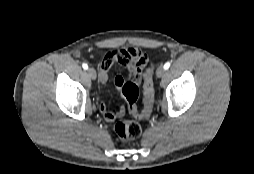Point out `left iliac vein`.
I'll return each mask as SVG.
<instances>
[{
	"label": "left iliac vein",
	"instance_id": "left-iliac-vein-1",
	"mask_svg": "<svg viewBox=\"0 0 254 174\" xmlns=\"http://www.w3.org/2000/svg\"><path fill=\"white\" fill-rule=\"evenodd\" d=\"M164 74H165V69H164V67H163V66H159V67L157 68V70H156V76H157L158 78H161V77L164 76Z\"/></svg>",
	"mask_w": 254,
	"mask_h": 174
}]
</instances>
